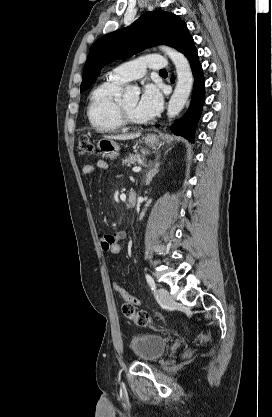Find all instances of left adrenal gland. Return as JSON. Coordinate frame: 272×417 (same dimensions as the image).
<instances>
[{
	"mask_svg": "<svg viewBox=\"0 0 272 417\" xmlns=\"http://www.w3.org/2000/svg\"><path fill=\"white\" fill-rule=\"evenodd\" d=\"M159 167H160V162L157 160L155 162L154 167L146 173V177H145L146 185H149L150 182L152 181V178L159 172Z\"/></svg>",
	"mask_w": 272,
	"mask_h": 417,
	"instance_id": "left-adrenal-gland-1",
	"label": "left adrenal gland"
}]
</instances>
